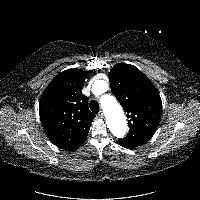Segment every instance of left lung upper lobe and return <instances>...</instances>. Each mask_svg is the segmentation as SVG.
<instances>
[{
    "label": "left lung upper lobe",
    "mask_w": 200,
    "mask_h": 200,
    "mask_svg": "<svg viewBox=\"0 0 200 200\" xmlns=\"http://www.w3.org/2000/svg\"><path fill=\"white\" fill-rule=\"evenodd\" d=\"M113 94L129 118V133L119 139L121 146L132 149L146 143L156 131L162 103L148 77L133 65L120 63L109 73Z\"/></svg>",
    "instance_id": "obj_1"
}]
</instances>
